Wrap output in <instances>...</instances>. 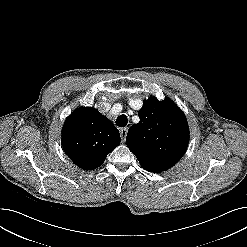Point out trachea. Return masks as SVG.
<instances>
[{
    "label": "trachea",
    "instance_id": "obj_1",
    "mask_svg": "<svg viewBox=\"0 0 247 247\" xmlns=\"http://www.w3.org/2000/svg\"><path fill=\"white\" fill-rule=\"evenodd\" d=\"M128 123V119L126 115H120L116 119V125L118 127H125Z\"/></svg>",
    "mask_w": 247,
    "mask_h": 247
}]
</instances>
